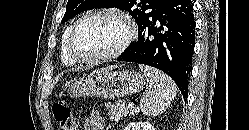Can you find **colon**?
Masks as SVG:
<instances>
[{
    "label": "colon",
    "mask_w": 249,
    "mask_h": 130,
    "mask_svg": "<svg viewBox=\"0 0 249 130\" xmlns=\"http://www.w3.org/2000/svg\"><path fill=\"white\" fill-rule=\"evenodd\" d=\"M52 113L60 130H78L77 120L66 102L54 103Z\"/></svg>",
    "instance_id": "5ec220e1"
}]
</instances>
